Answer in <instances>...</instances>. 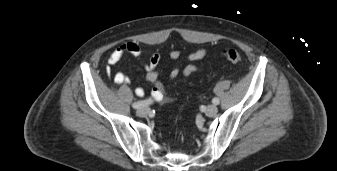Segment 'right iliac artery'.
I'll list each match as a JSON object with an SVG mask.
<instances>
[{
    "label": "right iliac artery",
    "mask_w": 337,
    "mask_h": 171,
    "mask_svg": "<svg viewBox=\"0 0 337 171\" xmlns=\"http://www.w3.org/2000/svg\"><path fill=\"white\" fill-rule=\"evenodd\" d=\"M151 103H152V100H150V99L144 100V101H138V102L133 103L132 107L134 109H140L141 107H144V106H146L148 104H151Z\"/></svg>",
    "instance_id": "right-iliac-artery-1"
}]
</instances>
